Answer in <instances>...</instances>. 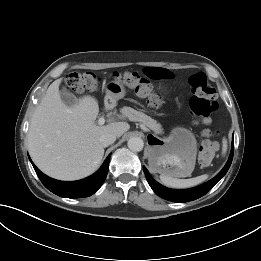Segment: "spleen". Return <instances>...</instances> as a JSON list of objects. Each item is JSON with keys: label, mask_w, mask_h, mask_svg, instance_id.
I'll use <instances>...</instances> for the list:
<instances>
[{"label": "spleen", "mask_w": 261, "mask_h": 261, "mask_svg": "<svg viewBox=\"0 0 261 261\" xmlns=\"http://www.w3.org/2000/svg\"><path fill=\"white\" fill-rule=\"evenodd\" d=\"M222 150L223 153H225L227 150V141L225 139L223 140ZM207 178L208 175L206 174L190 179H177V178L170 177L168 175H163V174L160 175L161 182L164 185L172 188H188V187L196 186L202 183L203 181H205Z\"/></svg>", "instance_id": "1"}]
</instances>
